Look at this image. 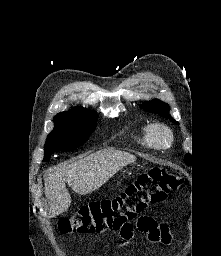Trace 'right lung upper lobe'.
<instances>
[{
    "label": "right lung upper lobe",
    "instance_id": "cb5924a9",
    "mask_svg": "<svg viewBox=\"0 0 221 256\" xmlns=\"http://www.w3.org/2000/svg\"><path fill=\"white\" fill-rule=\"evenodd\" d=\"M83 108H73L71 109L70 111H64V112H61L57 115H66V114H72V113H77L79 112L80 110H82Z\"/></svg>",
    "mask_w": 221,
    "mask_h": 256
}]
</instances>
